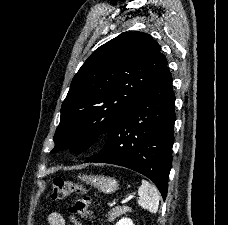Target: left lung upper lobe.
Wrapping results in <instances>:
<instances>
[{
  "mask_svg": "<svg viewBox=\"0 0 228 225\" xmlns=\"http://www.w3.org/2000/svg\"><path fill=\"white\" fill-rule=\"evenodd\" d=\"M167 65L159 44L129 31L96 49L74 76L61 107L55 147L87 150L158 79Z\"/></svg>",
  "mask_w": 228,
  "mask_h": 225,
  "instance_id": "obj_1",
  "label": "left lung upper lobe"
}]
</instances>
